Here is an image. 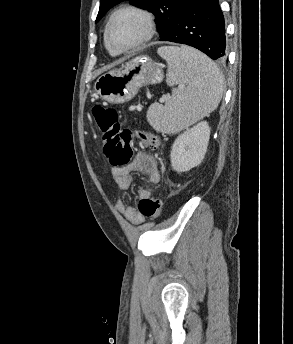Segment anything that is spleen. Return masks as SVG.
Instances as JSON below:
<instances>
[{
	"label": "spleen",
	"mask_w": 293,
	"mask_h": 344,
	"mask_svg": "<svg viewBox=\"0 0 293 344\" xmlns=\"http://www.w3.org/2000/svg\"><path fill=\"white\" fill-rule=\"evenodd\" d=\"M157 52L168 64L167 84L178 88L165 105L149 107L147 120L156 131L174 134L217 108L224 78L210 58L191 47L164 46Z\"/></svg>",
	"instance_id": "spleen-1"
}]
</instances>
